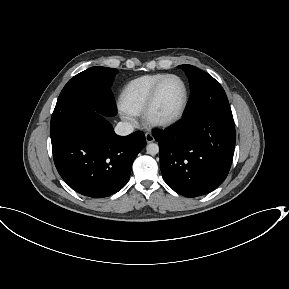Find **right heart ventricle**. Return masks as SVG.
<instances>
[{
	"instance_id": "right-heart-ventricle-1",
	"label": "right heart ventricle",
	"mask_w": 289,
	"mask_h": 289,
	"mask_svg": "<svg viewBox=\"0 0 289 289\" xmlns=\"http://www.w3.org/2000/svg\"><path fill=\"white\" fill-rule=\"evenodd\" d=\"M166 75L165 73L147 74L128 82L119 97L121 109L131 115L141 114L152 89Z\"/></svg>"
}]
</instances>
